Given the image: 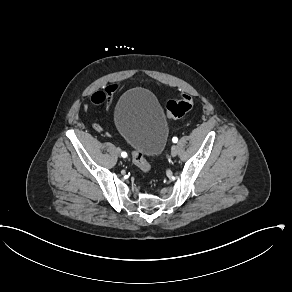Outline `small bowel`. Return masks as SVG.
I'll list each match as a JSON object with an SVG mask.
<instances>
[{
    "label": "small bowel",
    "instance_id": "c3829d8e",
    "mask_svg": "<svg viewBox=\"0 0 292 292\" xmlns=\"http://www.w3.org/2000/svg\"><path fill=\"white\" fill-rule=\"evenodd\" d=\"M122 88V85L119 82L114 83H109L106 87L105 90L110 93V95L107 97V101L105 102V106L109 109H112V104L113 100L117 91H119ZM107 115H110V112H107Z\"/></svg>",
    "mask_w": 292,
    "mask_h": 292
}]
</instances>
